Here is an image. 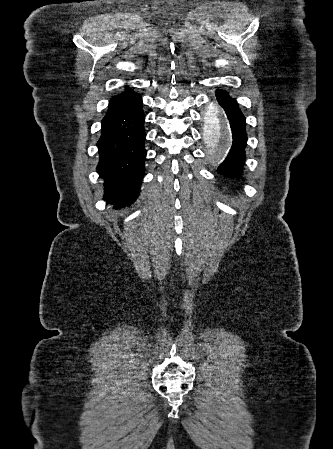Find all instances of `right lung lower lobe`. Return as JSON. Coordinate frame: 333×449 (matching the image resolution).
Returning a JSON list of instances; mask_svg holds the SVG:
<instances>
[{"label": "right lung lower lobe", "instance_id": "1", "mask_svg": "<svg viewBox=\"0 0 333 449\" xmlns=\"http://www.w3.org/2000/svg\"><path fill=\"white\" fill-rule=\"evenodd\" d=\"M145 115L138 93L110 102L97 142V171L104 179L105 200L117 209L138 196L144 176Z\"/></svg>", "mask_w": 333, "mask_h": 449}]
</instances>
